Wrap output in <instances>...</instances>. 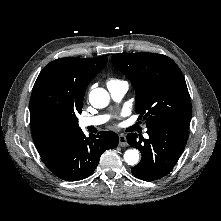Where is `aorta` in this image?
<instances>
[{
  "label": "aorta",
  "instance_id": "aorta-1",
  "mask_svg": "<svg viewBox=\"0 0 221 221\" xmlns=\"http://www.w3.org/2000/svg\"><path fill=\"white\" fill-rule=\"evenodd\" d=\"M89 101L95 108H104L109 104V93L103 88H96L89 94ZM124 160L128 165H135L139 161V152L136 149H129L124 153Z\"/></svg>",
  "mask_w": 221,
  "mask_h": 221
}]
</instances>
